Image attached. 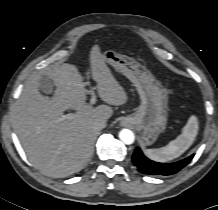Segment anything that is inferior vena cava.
Segmentation results:
<instances>
[{
	"label": "inferior vena cava",
	"instance_id": "inferior-vena-cava-1",
	"mask_svg": "<svg viewBox=\"0 0 218 210\" xmlns=\"http://www.w3.org/2000/svg\"><path fill=\"white\" fill-rule=\"evenodd\" d=\"M94 127H95V129H97V130H102L103 128L106 127V121H105V120L96 121V122L94 123Z\"/></svg>",
	"mask_w": 218,
	"mask_h": 210
}]
</instances>
